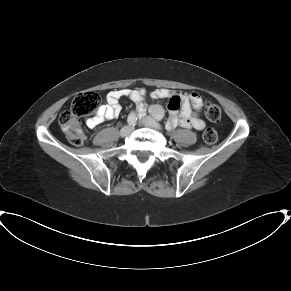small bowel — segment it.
Wrapping results in <instances>:
<instances>
[{
    "instance_id": "c3829d8e",
    "label": "small bowel",
    "mask_w": 291,
    "mask_h": 291,
    "mask_svg": "<svg viewBox=\"0 0 291 291\" xmlns=\"http://www.w3.org/2000/svg\"><path fill=\"white\" fill-rule=\"evenodd\" d=\"M145 95L143 89H118L110 91L106 96V102L99 107L97 113L86 119V127L94 129L106 120L116 118L121 110L119 100L123 97L130 98L135 103L137 113L142 116L146 109ZM150 96L155 100H168L169 117L166 122L168 130H173L179 125L196 130H203L205 128V121L198 116V112L202 107V98L199 94L159 88L154 90Z\"/></svg>"
}]
</instances>
